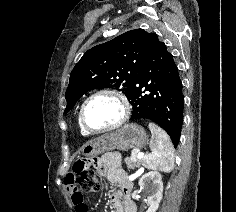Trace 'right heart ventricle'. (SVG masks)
<instances>
[{"label": "right heart ventricle", "mask_w": 236, "mask_h": 212, "mask_svg": "<svg viewBox=\"0 0 236 212\" xmlns=\"http://www.w3.org/2000/svg\"><path fill=\"white\" fill-rule=\"evenodd\" d=\"M79 125H80V124H79ZM80 132H81L83 135L87 134V133L82 129L81 126H80Z\"/></svg>", "instance_id": "right-heart-ventricle-1"}]
</instances>
